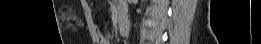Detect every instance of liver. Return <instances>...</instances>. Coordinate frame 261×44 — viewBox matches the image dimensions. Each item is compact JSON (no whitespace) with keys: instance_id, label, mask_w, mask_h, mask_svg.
Instances as JSON below:
<instances>
[{"instance_id":"1","label":"liver","mask_w":261,"mask_h":44,"mask_svg":"<svg viewBox=\"0 0 261 44\" xmlns=\"http://www.w3.org/2000/svg\"><path fill=\"white\" fill-rule=\"evenodd\" d=\"M100 29H101V30H110V29H111V26H110V25H101V26H100Z\"/></svg>"}]
</instances>
